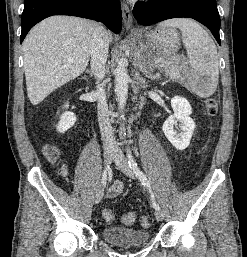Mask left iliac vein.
<instances>
[{
    "label": "left iliac vein",
    "instance_id": "obj_1",
    "mask_svg": "<svg viewBox=\"0 0 247 257\" xmlns=\"http://www.w3.org/2000/svg\"><path fill=\"white\" fill-rule=\"evenodd\" d=\"M113 160L118 168L129 178L134 179L135 175L133 170L130 168L127 159L125 158L124 154L120 150V148H116L113 156ZM155 217L158 221H162L164 219V214L161 210H155Z\"/></svg>",
    "mask_w": 247,
    "mask_h": 257
}]
</instances>
